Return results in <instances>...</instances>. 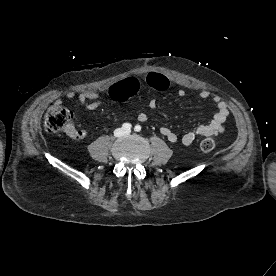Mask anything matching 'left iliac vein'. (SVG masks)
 I'll list each match as a JSON object with an SVG mask.
<instances>
[{"label": "left iliac vein", "instance_id": "obj_1", "mask_svg": "<svg viewBox=\"0 0 276 276\" xmlns=\"http://www.w3.org/2000/svg\"><path fill=\"white\" fill-rule=\"evenodd\" d=\"M125 134H126V135L130 134V131H125Z\"/></svg>", "mask_w": 276, "mask_h": 276}]
</instances>
